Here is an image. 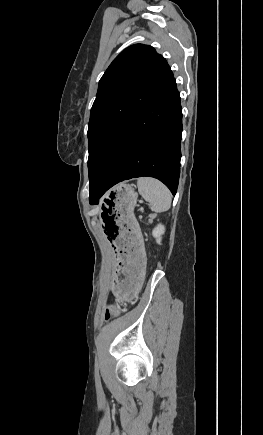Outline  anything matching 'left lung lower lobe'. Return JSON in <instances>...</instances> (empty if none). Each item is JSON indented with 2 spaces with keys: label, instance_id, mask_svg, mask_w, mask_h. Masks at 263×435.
<instances>
[{
  "label": "left lung lower lobe",
  "instance_id": "0a47b994",
  "mask_svg": "<svg viewBox=\"0 0 263 435\" xmlns=\"http://www.w3.org/2000/svg\"><path fill=\"white\" fill-rule=\"evenodd\" d=\"M182 109L173 78L119 137L93 182L90 204L113 185L141 176L162 181L176 194L180 175Z\"/></svg>",
  "mask_w": 263,
  "mask_h": 435
}]
</instances>
